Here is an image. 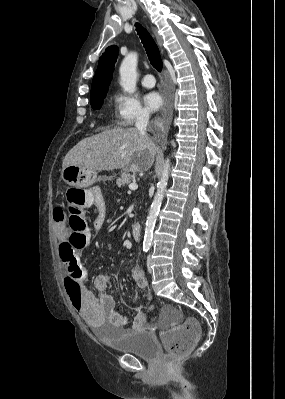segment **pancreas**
<instances>
[{
    "mask_svg": "<svg viewBox=\"0 0 285 399\" xmlns=\"http://www.w3.org/2000/svg\"><path fill=\"white\" fill-rule=\"evenodd\" d=\"M132 179H133L132 175H130L127 172H123L121 176L117 178V185L118 187L128 185Z\"/></svg>",
    "mask_w": 285,
    "mask_h": 399,
    "instance_id": "cf45deb5",
    "label": "pancreas"
}]
</instances>
